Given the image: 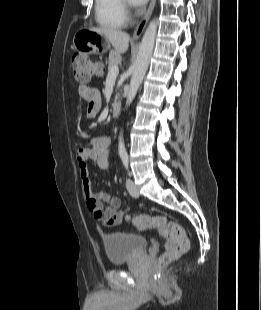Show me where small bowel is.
<instances>
[{"label": "small bowel", "instance_id": "small-bowel-1", "mask_svg": "<svg viewBox=\"0 0 261 310\" xmlns=\"http://www.w3.org/2000/svg\"><path fill=\"white\" fill-rule=\"evenodd\" d=\"M81 97L89 102L88 116L94 118L101 106L100 93L93 86H82L79 89ZM93 160L104 170H110V140L107 138H92L88 145L76 152V161L79 170L83 195L87 209L96 220L106 226H117L126 218L129 210H118L120 199L106 192L94 193L91 190V172L88 161Z\"/></svg>", "mask_w": 261, "mask_h": 310}]
</instances>
